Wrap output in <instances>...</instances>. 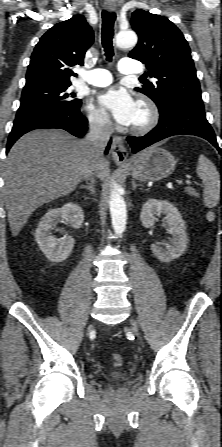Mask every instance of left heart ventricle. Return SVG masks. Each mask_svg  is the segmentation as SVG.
Segmentation results:
<instances>
[{"label":"left heart ventricle","mask_w":222,"mask_h":447,"mask_svg":"<svg viewBox=\"0 0 222 447\" xmlns=\"http://www.w3.org/2000/svg\"><path fill=\"white\" fill-rule=\"evenodd\" d=\"M143 118V112L137 107L136 117L133 124L140 122Z\"/></svg>","instance_id":"obj_1"}]
</instances>
